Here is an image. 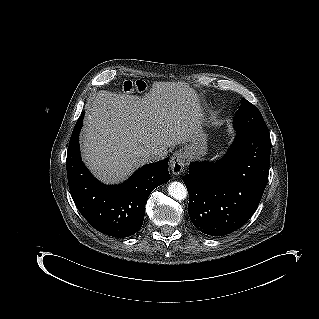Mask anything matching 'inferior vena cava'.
Masks as SVG:
<instances>
[{
    "mask_svg": "<svg viewBox=\"0 0 319 319\" xmlns=\"http://www.w3.org/2000/svg\"><path fill=\"white\" fill-rule=\"evenodd\" d=\"M149 162L159 161L166 157L167 152L162 150H150L146 152Z\"/></svg>",
    "mask_w": 319,
    "mask_h": 319,
    "instance_id": "602c4592",
    "label": "inferior vena cava"
}]
</instances>
